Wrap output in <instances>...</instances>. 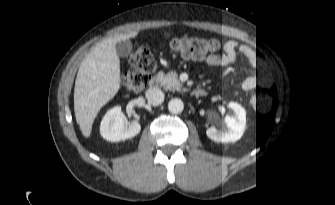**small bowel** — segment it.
I'll use <instances>...</instances> for the list:
<instances>
[{"label":"small bowel","instance_id":"small-bowel-1","mask_svg":"<svg viewBox=\"0 0 335 205\" xmlns=\"http://www.w3.org/2000/svg\"><path fill=\"white\" fill-rule=\"evenodd\" d=\"M240 51L244 53L250 59V61L260 66L259 61L246 48H241ZM235 54H236V50L234 46L228 45L225 49V53L219 56L212 57L210 60V63L212 65H217V66L223 65L224 63L231 61L234 58ZM266 83H267V79L265 75L262 72H260L257 75V77L248 80L246 82V86L252 87L256 85H264Z\"/></svg>","mask_w":335,"mask_h":205}]
</instances>
